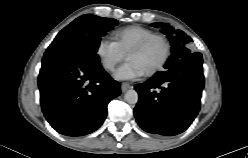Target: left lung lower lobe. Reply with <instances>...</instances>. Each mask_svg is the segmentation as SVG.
Instances as JSON below:
<instances>
[{
    "label": "left lung lower lobe",
    "instance_id": "left-lung-lower-lobe-1",
    "mask_svg": "<svg viewBox=\"0 0 248 158\" xmlns=\"http://www.w3.org/2000/svg\"><path fill=\"white\" fill-rule=\"evenodd\" d=\"M204 87L202 55L192 53L136 84L139 101L134 115L146 132L172 136L185 131L200 109Z\"/></svg>",
    "mask_w": 248,
    "mask_h": 158
}]
</instances>
